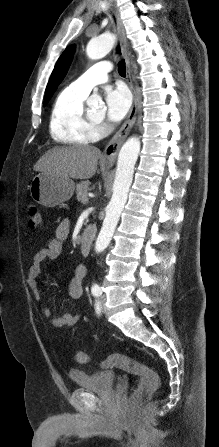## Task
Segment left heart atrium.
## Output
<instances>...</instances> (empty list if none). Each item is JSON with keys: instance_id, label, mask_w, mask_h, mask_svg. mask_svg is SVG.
I'll list each match as a JSON object with an SVG mask.
<instances>
[{"instance_id": "obj_1", "label": "left heart atrium", "mask_w": 219, "mask_h": 447, "mask_svg": "<svg viewBox=\"0 0 219 447\" xmlns=\"http://www.w3.org/2000/svg\"><path fill=\"white\" fill-rule=\"evenodd\" d=\"M106 117L110 121H120L131 107V96L124 87L109 89L105 97Z\"/></svg>"}]
</instances>
